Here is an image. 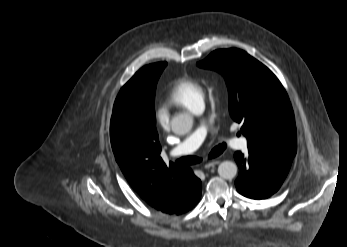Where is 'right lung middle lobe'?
I'll use <instances>...</instances> for the list:
<instances>
[{
  "label": "right lung middle lobe",
  "instance_id": "obj_1",
  "mask_svg": "<svg viewBox=\"0 0 347 247\" xmlns=\"http://www.w3.org/2000/svg\"><path fill=\"white\" fill-rule=\"evenodd\" d=\"M166 62L141 68L132 78L134 90L121 89L114 107L117 114L129 123L156 130L154 99L157 81Z\"/></svg>",
  "mask_w": 347,
  "mask_h": 247
}]
</instances>
